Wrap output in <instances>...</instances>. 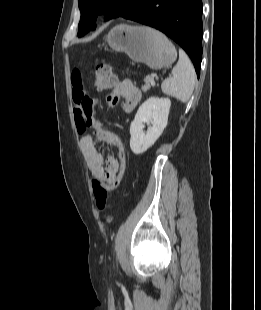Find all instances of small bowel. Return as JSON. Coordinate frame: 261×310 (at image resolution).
<instances>
[{"label":"small bowel","instance_id":"obj_1","mask_svg":"<svg viewBox=\"0 0 261 310\" xmlns=\"http://www.w3.org/2000/svg\"><path fill=\"white\" fill-rule=\"evenodd\" d=\"M72 99L74 102L75 122L80 134L88 127L94 131L86 133L81 139L89 170L94 178L103 182H112L119 170V163L115 156L110 155L104 159L99 151V142L106 141L113 145L119 137L108 130L102 122L94 118V106L97 99L89 97L82 84L80 72L75 69L72 73ZM123 100V110L133 111L141 100V91L130 80H115L111 92L106 96L110 107H115Z\"/></svg>","mask_w":261,"mask_h":310}]
</instances>
